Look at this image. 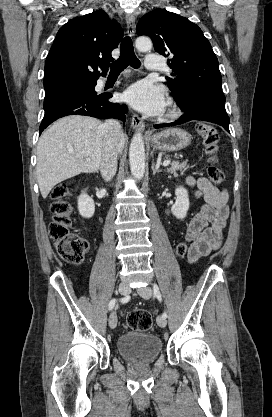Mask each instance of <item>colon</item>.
<instances>
[{"mask_svg": "<svg viewBox=\"0 0 272 417\" xmlns=\"http://www.w3.org/2000/svg\"><path fill=\"white\" fill-rule=\"evenodd\" d=\"M197 132L203 139L210 162L208 177L213 184L219 185L224 181V174L216 164L219 140L217 130L209 124L202 123L197 126ZM70 196L71 190L67 184H59L53 188L49 234L60 258L68 263L79 264L89 250V243L81 236L71 232L73 207L68 201ZM188 250L189 244L186 242H180L175 247L178 257H184ZM127 324L133 330L147 331L152 326V316L146 310H134L128 314Z\"/></svg>", "mask_w": 272, "mask_h": 417, "instance_id": "1", "label": "colon"}]
</instances>
